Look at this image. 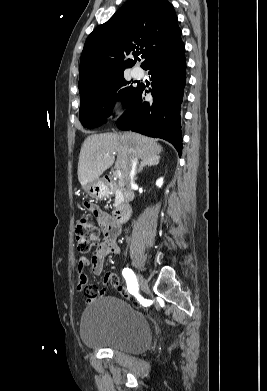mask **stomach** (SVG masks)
<instances>
[{"label": "stomach", "mask_w": 267, "mask_h": 391, "mask_svg": "<svg viewBox=\"0 0 267 391\" xmlns=\"http://www.w3.org/2000/svg\"><path fill=\"white\" fill-rule=\"evenodd\" d=\"M83 189L94 199H102L109 194L110 188L102 179L87 184Z\"/></svg>", "instance_id": "obj_1"}]
</instances>
